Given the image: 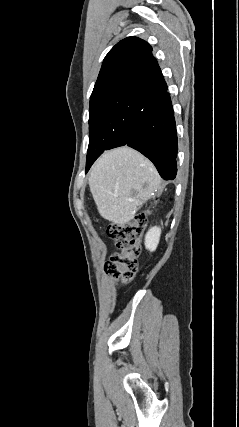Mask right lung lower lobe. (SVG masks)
<instances>
[{"instance_id":"1","label":"right lung lower lobe","mask_w":239,"mask_h":427,"mask_svg":"<svg viewBox=\"0 0 239 427\" xmlns=\"http://www.w3.org/2000/svg\"><path fill=\"white\" fill-rule=\"evenodd\" d=\"M123 145L150 159L164 180L176 177L177 132L167 89L145 98L144 107L134 117Z\"/></svg>"}]
</instances>
